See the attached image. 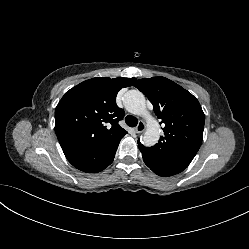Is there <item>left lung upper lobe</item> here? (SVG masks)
<instances>
[{
  "mask_svg": "<svg viewBox=\"0 0 249 249\" xmlns=\"http://www.w3.org/2000/svg\"><path fill=\"white\" fill-rule=\"evenodd\" d=\"M133 85L152 103L164 123V135L153 147H138L165 159L190 163L198 152L205 115L198 100L187 90L165 77L136 80Z\"/></svg>",
  "mask_w": 249,
  "mask_h": 249,
  "instance_id": "1",
  "label": "left lung upper lobe"
}]
</instances>
